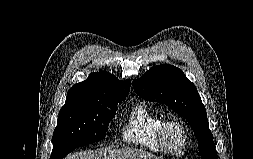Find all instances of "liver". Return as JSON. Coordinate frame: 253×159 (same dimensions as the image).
<instances>
[{"mask_svg":"<svg viewBox=\"0 0 253 159\" xmlns=\"http://www.w3.org/2000/svg\"><path fill=\"white\" fill-rule=\"evenodd\" d=\"M65 159H159L153 154L134 149L124 148L120 150L102 149L98 151H82L70 154Z\"/></svg>","mask_w":253,"mask_h":159,"instance_id":"6515ba94","label":"liver"}]
</instances>
